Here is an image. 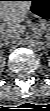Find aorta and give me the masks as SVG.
Returning <instances> with one entry per match:
<instances>
[{
	"label": "aorta",
	"instance_id": "obj_1",
	"mask_svg": "<svg viewBox=\"0 0 50 111\" xmlns=\"http://www.w3.org/2000/svg\"><path fill=\"white\" fill-rule=\"evenodd\" d=\"M26 45L28 46L29 49L34 51H40L44 46L41 37L38 35H32L28 37Z\"/></svg>",
	"mask_w": 50,
	"mask_h": 111
}]
</instances>
